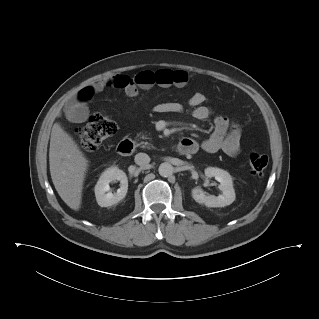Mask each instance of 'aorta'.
<instances>
[{
	"instance_id": "aorta-1",
	"label": "aorta",
	"mask_w": 319,
	"mask_h": 319,
	"mask_svg": "<svg viewBox=\"0 0 319 319\" xmlns=\"http://www.w3.org/2000/svg\"><path fill=\"white\" fill-rule=\"evenodd\" d=\"M158 171L162 177H169L173 174L174 168L170 163L164 162L160 164Z\"/></svg>"
}]
</instances>
